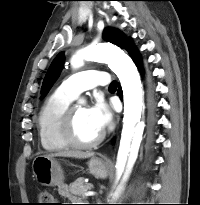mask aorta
<instances>
[{"label": "aorta", "mask_w": 200, "mask_h": 205, "mask_svg": "<svg viewBox=\"0 0 200 205\" xmlns=\"http://www.w3.org/2000/svg\"><path fill=\"white\" fill-rule=\"evenodd\" d=\"M84 60L103 62L117 75L124 100L123 129L118 158L128 155L119 192L128 180L138 156L144 124L140 121L143 107V90L137 67L132 59L112 43L88 45L79 49L71 58V65L78 68Z\"/></svg>", "instance_id": "1"}]
</instances>
